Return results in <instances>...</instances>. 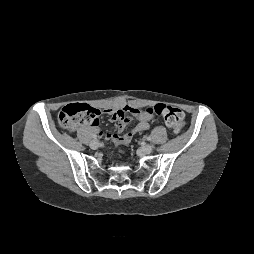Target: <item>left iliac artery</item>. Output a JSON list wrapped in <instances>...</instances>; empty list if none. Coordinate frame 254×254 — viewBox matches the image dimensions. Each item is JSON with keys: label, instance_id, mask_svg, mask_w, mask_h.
I'll return each instance as SVG.
<instances>
[{"label": "left iliac artery", "instance_id": "1", "mask_svg": "<svg viewBox=\"0 0 254 254\" xmlns=\"http://www.w3.org/2000/svg\"><path fill=\"white\" fill-rule=\"evenodd\" d=\"M146 139H147L148 141L151 140L150 136L146 137Z\"/></svg>", "mask_w": 254, "mask_h": 254}]
</instances>
